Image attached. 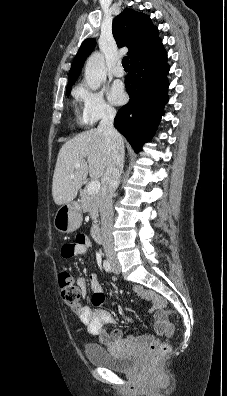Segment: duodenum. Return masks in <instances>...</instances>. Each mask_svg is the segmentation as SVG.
<instances>
[{"instance_id":"obj_1","label":"duodenum","mask_w":227,"mask_h":396,"mask_svg":"<svg viewBox=\"0 0 227 396\" xmlns=\"http://www.w3.org/2000/svg\"><path fill=\"white\" fill-rule=\"evenodd\" d=\"M91 233H92L93 239L96 242H98V243L102 242V240H103L102 231H101V227L99 225H94L93 228H92Z\"/></svg>"}]
</instances>
